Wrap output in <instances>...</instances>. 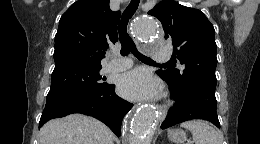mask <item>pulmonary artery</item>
Wrapping results in <instances>:
<instances>
[{"instance_id": "obj_1", "label": "pulmonary artery", "mask_w": 260, "mask_h": 144, "mask_svg": "<svg viewBox=\"0 0 260 144\" xmlns=\"http://www.w3.org/2000/svg\"><path fill=\"white\" fill-rule=\"evenodd\" d=\"M170 51L166 48H162L157 50L153 54V59L164 61L169 59ZM132 66V61L127 57H119L116 59H111L108 64L106 65V70L110 72H118L123 71Z\"/></svg>"}]
</instances>
